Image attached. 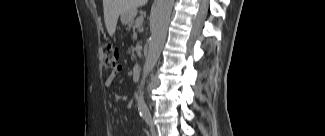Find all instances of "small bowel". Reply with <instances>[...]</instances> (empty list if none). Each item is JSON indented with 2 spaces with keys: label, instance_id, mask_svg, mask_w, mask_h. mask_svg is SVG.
Wrapping results in <instances>:
<instances>
[{
  "label": "small bowel",
  "instance_id": "1",
  "mask_svg": "<svg viewBox=\"0 0 325 136\" xmlns=\"http://www.w3.org/2000/svg\"><path fill=\"white\" fill-rule=\"evenodd\" d=\"M119 70H120L119 68H118V69H115V70H113V71L109 74V76H108L107 79L105 80V86H106V88H110V87H111V85H112V83H113V81H114L116 75L118 74Z\"/></svg>",
  "mask_w": 325,
  "mask_h": 136
}]
</instances>
